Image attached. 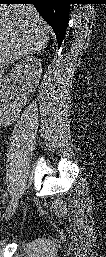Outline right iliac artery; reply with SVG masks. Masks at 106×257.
I'll return each instance as SVG.
<instances>
[{
	"mask_svg": "<svg viewBox=\"0 0 106 257\" xmlns=\"http://www.w3.org/2000/svg\"><path fill=\"white\" fill-rule=\"evenodd\" d=\"M12 201H13V198L8 197V196L6 195V200H5V203H4V204L7 205V206H9Z\"/></svg>",
	"mask_w": 106,
	"mask_h": 257,
	"instance_id": "1",
	"label": "right iliac artery"
}]
</instances>
